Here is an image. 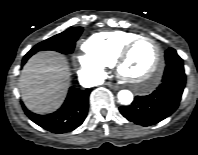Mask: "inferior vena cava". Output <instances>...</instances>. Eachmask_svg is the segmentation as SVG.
<instances>
[{
  "label": "inferior vena cava",
  "instance_id": "602c4592",
  "mask_svg": "<svg viewBox=\"0 0 198 155\" xmlns=\"http://www.w3.org/2000/svg\"><path fill=\"white\" fill-rule=\"evenodd\" d=\"M81 81L87 83V85L89 87H93V86H96V85H100L103 83V79L98 77V76H95V75H92V74H85L82 78H81Z\"/></svg>",
  "mask_w": 198,
  "mask_h": 155
}]
</instances>
